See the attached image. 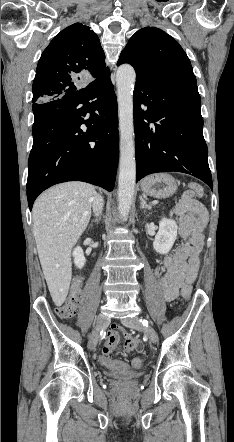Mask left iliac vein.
<instances>
[{"label":"left iliac vein","instance_id":"1","mask_svg":"<svg viewBox=\"0 0 234 442\" xmlns=\"http://www.w3.org/2000/svg\"><path fill=\"white\" fill-rule=\"evenodd\" d=\"M122 323L130 328L136 329V330H144L147 337L152 343H157L158 341V334L155 331V329L151 326H144L140 323L137 317H128L124 320H122Z\"/></svg>","mask_w":234,"mask_h":442}]
</instances>
